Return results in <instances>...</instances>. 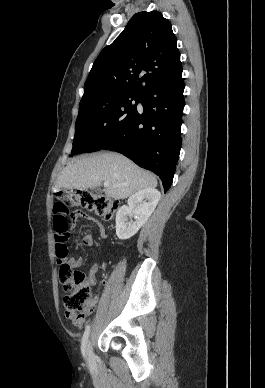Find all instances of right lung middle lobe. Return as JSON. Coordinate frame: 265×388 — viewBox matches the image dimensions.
Segmentation results:
<instances>
[{
	"mask_svg": "<svg viewBox=\"0 0 265 388\" xmlns=\"http://www.w3.org/2000/svg\"><path fill=\"white\" fill-rule=\"evenodd\" d=\"M140 96L129 92L104 90L82 98L70 156L100 150L136 112Z\"/></svg>",
	"mask_w": 265,
	"mask_h": 388,
	"instance_id": "right-lung-middle-lobe-1",
	"label": "right lung middle lobe"
}]
</instances>
